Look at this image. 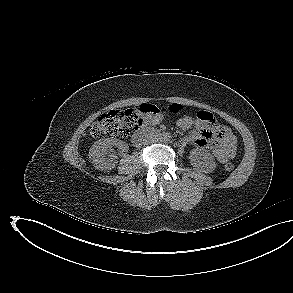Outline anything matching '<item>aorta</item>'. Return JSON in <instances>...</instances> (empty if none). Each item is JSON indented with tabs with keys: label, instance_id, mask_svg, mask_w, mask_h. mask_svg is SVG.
I'll return each mask as SVG.
<instances>
[{
	"label": "aorta",
	"instance_id": "1",
	"mask_svg": "<svg viewBox=\"0 0 293 293\" xmlns=\"http://www.w3.org/2000/svg\"><path fill=\"white\" fill-rule=\"evenodd\" d=\"M169 134L168 133H162L159 137L160 141L161 142H167L169 141Z\"/></svg>",
	"mask_w": 293,
	"mask_h": 293
}]
</instances>
